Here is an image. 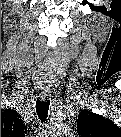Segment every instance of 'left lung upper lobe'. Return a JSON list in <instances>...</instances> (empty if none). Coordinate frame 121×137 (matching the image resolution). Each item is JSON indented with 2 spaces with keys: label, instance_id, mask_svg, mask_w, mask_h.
<instances>
[{
  "label": "left lung upper lobe",
  "instance_id": "obj_1",
  "mask_svg": "<svg viewBox=\"0 0 121 137\" xmlns=\"http://www.w3.org/2000/svg\"><path fill=\"white\" fill-rule=\"evenodd\" d=\"M77 131L81 136H121V130L110 119L88 110L80 112L77 121Z\"/></svg>",
  "mask_w": 121,
  "mask_h": 137
}]
</instances>
